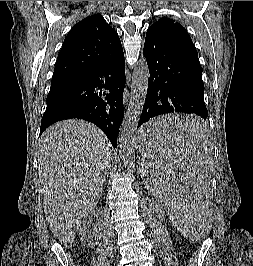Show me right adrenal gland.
Wrapping results in <instances>:
<instances>
[{"label": "right adrenal gland", "mask_w": 253, "mask_h": 266, "mask_svg": "<svg viewBox=\"0 0 253 266\" xmlns=\"http://www.w3.org/2000/svg\"><path fill=\"white\" fill-rule=\"evenodd\" d=\"M107 178H108V176H107ZM104 184L106 185V180H105Z\"/></svg>", "instance_id": "right-adrenal-gland-1"}]
</instances>
